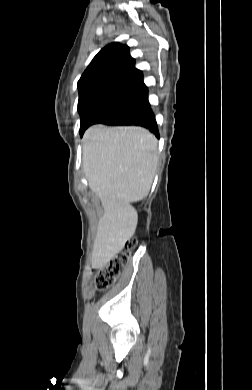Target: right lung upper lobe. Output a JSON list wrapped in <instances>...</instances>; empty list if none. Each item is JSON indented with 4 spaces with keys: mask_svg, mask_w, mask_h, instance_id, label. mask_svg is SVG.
I'll return each mask as SVG.
<instances>
[{
    "mask_svg": "<svg viewBox=\"0 0 252 390\" xmlns=\"http://www.w3.org/2000/svg\"><path fill=\"white\" fill-rule=\"evenodd\" d=\"M78 108L98 100L139 102L148 96L143 74L135 68L129 47L118 42L103 48L78 81Z\"/></svg>",
    "mask_w": 252,
    "mask_h": 390,
    "instance_id": "cb5924a9",
    "label": "right lung upper lobe"
}]
</instances>
